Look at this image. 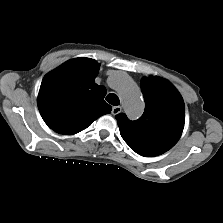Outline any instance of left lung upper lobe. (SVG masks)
I'll return each instance as SVG.
<instances>
[{
    "label": "left lung upper lobe",
    "mask_w": 223,
    "mask_h": 223,
    "mask_svg": "<svg viewBox=\"0 0 223 223\" xmlns=\"http://www.w3.org/2000/svg\"><path fill=\"white\" fill-rule=\"evenodd\" d=\"M145 111L136 121L124 113L116 115L120 134L136 153L152 157L171 149L185 123V106L180 93L168 81L156 77L141 80Z\"/></svg>",
    "instance_id": "left-lung-upper-lobe-1"
}]
</instances>
